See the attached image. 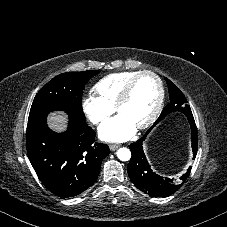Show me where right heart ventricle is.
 Here are the masks:
<instances>
[{"label":"right heart ventricle","instance_id":"obj_1","mask_svg":"<svg viewBox=\"0 0 227 227\" xmlns=\"http://www.w3.org/2000/svg\"><path fill=\"white\" fill-rule=\"evenodd\" d=\"M137 72L139 71L130 70L109 74L95 84L93 91L109 106L114 107L127 82Z\"/></svg>","mask_w":227,"mask_h":227}]
</instances>
